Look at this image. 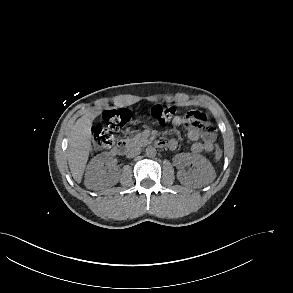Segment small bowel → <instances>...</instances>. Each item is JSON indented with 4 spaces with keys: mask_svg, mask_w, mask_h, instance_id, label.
Instances as JSON below:
<instances>
[{
    "mask_svg": "<svg viewBox=\"0 0 293 293\" xmlns=\"http://www.w3.org/2000/svg\"><path fill=\"white\" fill-rule=\"evenodd\" d=\"M198 116L188 120L186 115L177 116L173 119V126L178 127L185 124L187 127L188 138L195 141L191 147V152L200 154L211 152L213 150L214 141L216 139L215 131L209 126L206 114L201 111H195ZM170 150H175L178 146L176 140L161 139Z\"/></svg>",
    "mask_w": 293,
    "mask_h": 293,
    "instance_id": "1",
    "label": "small bowel"
}]
</instances>
